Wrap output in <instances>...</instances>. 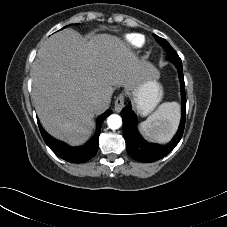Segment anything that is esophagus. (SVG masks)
<instances>
[{"label":"esophagus","instance_id":"1","mask_svg":"<svg viewBox=\"0 0 227 227\" xmlns=\"http://www.w3.org/2000/svg\"><path fill=\"white\" fill-rule=\"evenodd\" d=\"M124 106H125V95L120 94L114 102V110L116 112H120Z\"/></svg>","mask_w":227,"mask_h":227}]
</instances>
